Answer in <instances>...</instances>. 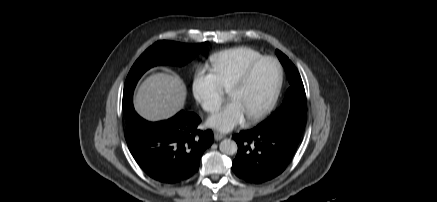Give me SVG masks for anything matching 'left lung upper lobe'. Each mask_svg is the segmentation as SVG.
<instances>
[{"label": "left lung upper lobe", "instance_id": "5c2ea615", "mask_svg": "<svg viewBox=\"0 0 437 202\" xmlns=\"http://www.w3.org/2000/svg\"><path fill=\"white\" fill-rule=\"evenodd\" d=\"M276 55L285 68L290 87L286 92L282 105L260 125L285 122L303 129L307 105L302 79L298 70L286 55L279 50H276Z\"/></svg>", "mask_w": 437, "mask_h": 202}]
</instances>
